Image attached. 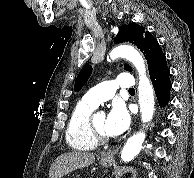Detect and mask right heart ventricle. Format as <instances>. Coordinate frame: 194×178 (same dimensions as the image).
Returning a JSON list of instances; mask_svg holds the SVG:
<instances>
[{"instance_id":"e07e8e85","label":"right heart ventricle","mask_w":194,"mask_h":178,"mask_svg":"<svg viewBox=\"0 0 194 178\" xmlns=\"http://www.w3.org/2000/svg\"><path fill=\"white\" fill-rule=\"evenodd\" d=\"M95 108L84 100L73 108L65 133L66 142L72 149L86 151L97 147L89 127V117Z\"/></svg>"}]
</instances>
